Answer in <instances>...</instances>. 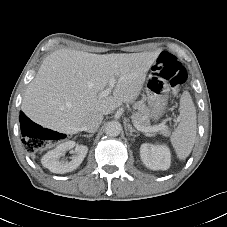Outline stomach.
<instances>
[{"label": "stomach", "instance_id": "0dacf381", "mask_svg": "<svg viewBox=\"0 0 227 227\" xmlns=\"http://www.w3.org/2000/svg\"><path fill=\"white\" fill-rule=\"evenodd\" d=\"M147 94L150 118L157 120L165 112L169 87L167 83L159 76L150 74L145 84Z\"/></svg>", "mask_w": 227, "mask_h": 227}]
</instances>
